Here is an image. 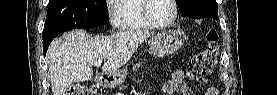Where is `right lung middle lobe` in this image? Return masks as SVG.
Instances as JSON below:
<instances>
[{"label":"right lung middle lobe","instance_id":"obj_1","mask_svg":"<svg viewBox=\"0 0 277 95\" xmlns=\"http://www.w3.org/2000/svg\"><path fill=\"white\" fill-rule=\"evenodd\" d=\"M107 18L105 0H49L42 37L56 36L70 29L99 26Z\"/></svg>","mask_w":277,"mask_h":95}]
</instances>
